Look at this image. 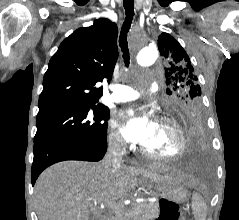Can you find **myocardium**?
I'll list each match as a JSON object with an SVG mask.
<instances>
[{
  "mask_svg": "<svg viewBox=\"0 0 239 220\" xmlns=\"http://www.w3.org/2000/svg\"><path fill=\"white\" fill-rule=\"evenodd\" d=\"M158 121L170 125L176 131L179 139L178 150L172 155H163L154 153L146 147L141 146V152L148 158L159 161H175L180 159L187 151V138L182 126L175 119L169 116H161L158 118Z\"/></svg>",
  "mask_w": 239,
  "mask_h": 220,
  "instance_id": "myocardium-1",
  "label": "myocardium"
}]
</instances>
